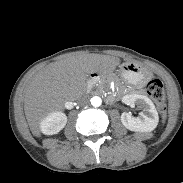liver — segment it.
Listing matches in <instances>:
<instances>
[{
    "label": "liver",
    "mask_w": 183,
    "mask_h": 183,
    "mask_svg": "<svg viewBox=\"0 0 183 183\" xmlns=\"http://www.w3.org/2000/svg\"><path fill=\"white\" fill-rule=\"evenodd\" d=\"M119 64V58L80 53L48 64L38 71L24 89V111L27 122L36 137H40V122L64 103L75 99V94L85 88L89 74H107Z\"/></svg>",
    "instance_id": "liver-1"
}]
</instances>
